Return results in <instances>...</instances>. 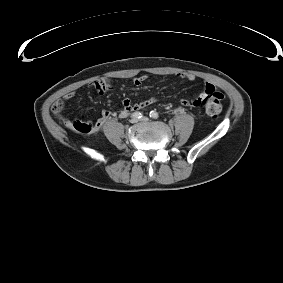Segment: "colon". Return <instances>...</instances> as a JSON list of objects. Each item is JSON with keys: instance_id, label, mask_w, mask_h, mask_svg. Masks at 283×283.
Instances as JSON below:
<instances>
[{"instance_id": "1", "label": "colon", "mask_w": 283, "mask_h": 283, "mask_svg": "<svg viewBox=\"0 0 283 283\" xmlns=\"http://www.w3.org/2000/svg\"><path fill=\"white\" fill-rule=\"evenodd\" d=\"M215 94L219 102H214L210 104L208 109L206 110L207 115L212 119L218 118L222 111V106L220 101L223 98V95L217 91L215 92ZM52 110L56 115L59 116L62 115L65 110L64 102L62 100L56 101L52 106ZM72 129L80 135H87L92 132V127L90 123H84L78 121L73 122Z\"/></svg>"}]
</instances>
